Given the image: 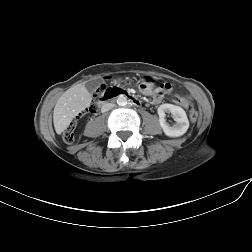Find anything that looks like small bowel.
Instances as JSON below:
<instances>
[{
    "mask_svg": "<svg viewBox=\"0 0 252 252\" xmlns=\"http://www.w3.org/2000/svg\"><path fill=\"white\" fill-rule=\"evenodd\" d=\"M141 90L152 97L153 103L158 104L161 102L163 94L171 91V85L169 83H165L156 90H153L151 87L141 86Z\"/></svg>",
    "mask_w": 252,
    "mask_h": 252,
    "instance_id": "small-bowel-1",
    "label": "small bowel"
}]
</instances>
